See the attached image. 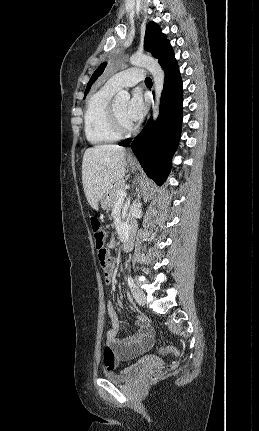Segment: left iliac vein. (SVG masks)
I'll return each mask as SVG.
<instances>
[{
  "label": "left iliac vein",
  "mask_w": 259,
  "mask_h": 431,
  "mask_svg": "<svg viewBox=\"0 0 259 431\" xmlns=\"http://www.w3.org/2000/svg\"><path fill=\"white\" fill-rule=\"evenodd\" d=\"M132 294H133V297H134L135 301L139 305H144L145 304V302H146V296H145V293L141 289H139L136 286H133L132 287Z\"/></svg>",
  "instance_id": "obj_1"
}]
</instances>
